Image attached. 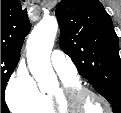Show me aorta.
Segmentation results:
<instances>
[{"label":"aorta","mask_w":121,"mask_h":113,"mask_svg":"<svg viewBox=\"0 0 121 113\" xmlns=\"http://www.w3.org/2000/svg\"><path fill=\"white\" fill-rule=\"evenodd\" d=\"M58 23L53 16H44L34 27L27 40V62L32 76L42 92L57 85V77L50 63Z\"/></svg>","instance_id":"obj_1"}]
</instances>
